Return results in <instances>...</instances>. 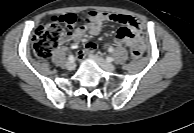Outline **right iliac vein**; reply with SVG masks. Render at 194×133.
Wrapping results in <instances>:
<instances>
[{
  "label": "right iliac vein",
  "instance_id": "right-iliac-vein-1",
  "mask_svg": "<svg viewBox=\"0 0 194 133\" xmlns=\"http://www.w3.org/2000/svg\"><path fill=\"white\" fill-rule=\"evenodd\" d=\"M66 68L68 69V70H74V68H75V63L74 62H67L66 63Z\"/></svg>",
  "mask_w": 194,
  "mask_h": 133
}]
</instances>
